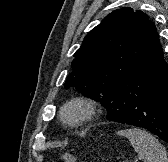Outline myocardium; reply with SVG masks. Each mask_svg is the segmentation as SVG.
I'll use <instances>...</instances> for the list:
<instances>
[{"mask_svg": "<svg viewBox=\"0 0 168 162\" xmlns=\"http://www.w3.org/2000/svg\"><path fill=\"white\" fill-rule=\"evenodd\" d=\"M97 113V104L87 97H74L60 108L61 122L68 127H78L91 120Z\"/></svg>", "mask_w": 168, "mask_h": 162, "instance_id": "myocardium-1", "label": "myocardium"}]
</instances>
